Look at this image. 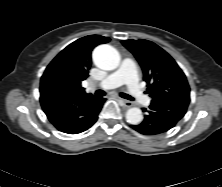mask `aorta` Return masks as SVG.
Wrapping results in <instances>:
<instances>
[{
  "instance_id": "1",
  "label": "aorta",
  "mask_w": 222,
  "mask_h": 187,
  "mask_svg": "<svg viewBox=\"0 0 222 187\" xmlns=\"http://www.w3.org/2000/svg\"><path fill=\"white\" fill-rule=\"evenodd\" d=\"M93 60L96 66L104 70H115L120 65L119 52L108 44L99 45L93 52ZM126 120L132 125H138L143 120L141 109L132 107L126 112Z\"/></svg>"
}]
</instances>
